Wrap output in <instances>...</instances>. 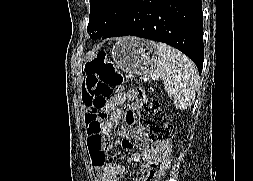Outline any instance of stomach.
I'll list each match as a JSON object with an SVG mask.
<instances>
[{"label":"stomach","instance_id":"1","mask_svg":"<svg viewBox=\"0 0 253 181\" xmlns=\"http://www.w3.org/2000/svg\"><path fill=\"white\" fill-rule=\"evenodd\" d=\"M113 63L128 74H149L157 64V49L153 41L136 37L118 40L111 50Z\"/></svg>","mask_w":253,"mask_h":181}]
</instances>
